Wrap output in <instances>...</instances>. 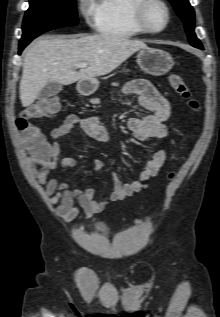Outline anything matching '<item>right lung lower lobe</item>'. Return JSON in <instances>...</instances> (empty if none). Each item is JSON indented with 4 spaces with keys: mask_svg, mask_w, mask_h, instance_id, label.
Returning <instances> with one entry per match:
<instances>
[{
    "mask_svg": "<svg viewBox=\"0 0 220 317\" xmlns=\"http://www.w3.org/2000/svg\"><path fill=\"white\" fill-rule=\"evenodd\" d=\"M34 39V38H33ZM28 40V41H24V42H20L19 44V54L22 52V50L33 40Z\"/></svg>",
    "mask_w": 220,
    "mask_h": 317,
    "instance_id": "right-lung-lower-lobe-1",
    "label": "right lung lower lobe"
}]
</instances>
